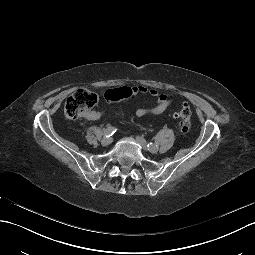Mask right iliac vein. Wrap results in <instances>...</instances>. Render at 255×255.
I'll use <instances>...</instances> for the list:
<instances>
[{"instance_id": "obj_1", "label": "right iliac vein", "mask_w": 255, "mask_h": 255, "mask_svg": "<svg viewBox=\"0 0 255 255\" xmlns=\"http://www.w3.org/2000/svg\"><path fill=\"white\" fill-rule=\"evenodd\" d=\"M112 141H113L112 138H104V139H102L101 144H102L103 146H107V145L111 144Z\"/></svg>"}]
</instances>
